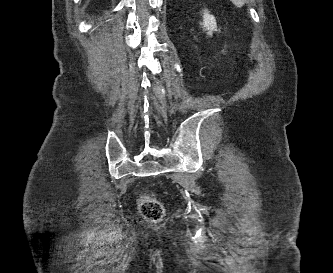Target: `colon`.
Masks as SVG:
<instances>
[{
  "mask_svg": "<svg viewBox=\"0 0 333 273\" xmlns=\"http://www.w3.org/2000/svg\"><path fill=\"white\" fill-rule=\"evenodd\" d=\"M139 211L144 218L152 222L160 221L164 217L162 204L150 196H144L140 199Z\"/></svg>",
  "mask_w": 333,
  "mask_h": 273,
  "instance_id": "colon-1",
  "label": "colon"
}]
</instances>
